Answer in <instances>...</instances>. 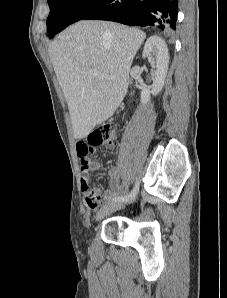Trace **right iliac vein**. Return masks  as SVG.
Segmentation results:
<instances>
[{
	"label": "right iliac vein",
	"mask_w": 227,
	"mask_h": 298,
	"mask_svg": "<svg viewBox=\"0 0 227 298\" xmlns=\"http://www.w3.org/2000/svg\"><path fill=\"white\" fill-rule=\"evenodd\" d=\"M127 202L126 201H121V202H114V203H109L104 205L97 213L96 215V221H99L101 219H103L105 216H107L108 214L119 210L121 208H123L125 206Z\"/></svg>",
	"instance_id": "obj_1"
}]
</instances>
